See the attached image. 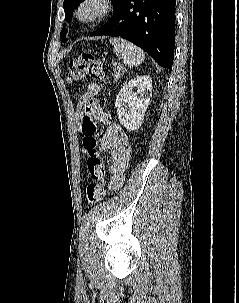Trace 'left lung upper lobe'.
Listing matches in <instances>:
<instances>
[{"label":"left lung upper lobe","mask_w":239,"mask_h":303,"mask_svg":"<svg viewBox=\"0 0 239 303\" xmlns=\"http://www.w3.org/2000/svg\"><path fill=\"white\" fill-rule=\"evenodd\" d=\"M84 0H64L63 7L65 12V19L67 22H70L72 19V13L74 9ZM123 0H111L113 4V11L117 9V7L122 3ZM66 28H63L61 31L60 36L63 37L62 42L66 41L65 35H66Z\"/></svg>","instance_id":"1"}]
</instances>
